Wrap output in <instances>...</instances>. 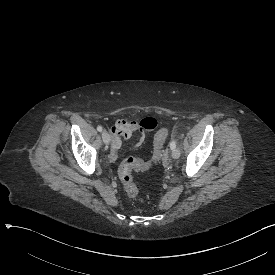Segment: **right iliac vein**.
<instances>
[{"label":"right iliac vein","mask_w":275,"mask_h":275,"mask_svg":"<svg viewBox=\"0 0 275 275\" xmlns=\"http://www.w3.org/2000/svg\"><path fill=\"white\" fill-rule=\"evenodd\" d=\"M102 139H103V142L106 144V145H109L110 143V135L107 131H103L102 132Z\"/></svg>","instance_id":"obj_1"}]
</instances>
